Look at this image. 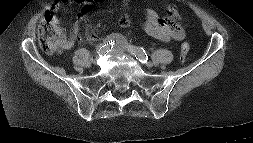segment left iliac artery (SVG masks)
<instances>
[{"label":"left iliac artery","instance_id":"obj_1","mask_svg":"<svg viewBox=\"0 0 253 143\" xmlns=\"http://www.w3.org/2000/svg\"><path fill=\"white\" fill-rule=\"evenodd\" d=\"M131 50V53L134 54L136 59H138L140 62L146 63L148 61V56L143 48L132 46Z\"/></svg>","mask_w":253,"mask_h":143}]
</instances>
